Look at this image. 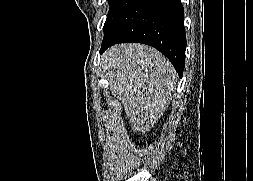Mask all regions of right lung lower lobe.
Listing matches in <instances>:
<instances>
[{
  "instance_id": "obj_1",
  "label": "right lung lower lobe",
  "mask_w": 253,
  "mask_h": 181,
  "mask_svg": "<svg viewBox=\"0 0 253 181\" xmlns=\"http://www.w3.org/2000/svg\"><path fill=\"white\" fill-rule=\"evenodd\" d=\"M180 0H135L104 32L100 53L125 42L144 43L162 52L182 77L186 33Z\"/></svg>"
}]
</instances>
